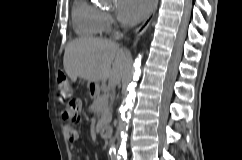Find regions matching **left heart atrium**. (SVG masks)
Instances as JSON below:
<instances>
[{
  "label": "left heart atrium",
  "mask_w": 242,
  "mask_h": 160,
  "mask_svg": "<svg viewBox=\"0 0 242 160\" xmlns=\"http://www.w3.org/2000/svg\"><path fill=\"white\" fill-rule=\"evenodd\" d=\"M152 0H118L117 15L127 24L141 21L149 12Z\"/></svg>",
  "instance_id": "left-heart-atrium-1"
}]
</instances>
